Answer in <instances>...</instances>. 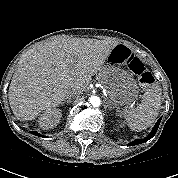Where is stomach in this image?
Returning <instances> with one entry per match:
<instances>
[{
	"label": "stomach",
	"instance_id": "0dacf381",
	"mask_svg": "<svg viewBox=\"0 0 178 178\" xmlns=\"http://www.w3.org/2000/svg\"><path fill=\"white\" fill-rule=\"evenodd\" d=\"M116 45L99 71V80L115 105H131L139 95L136 80L127 67L128 56H116Z\"/></svg>",
	"mask_w": 178,
	"mask_h": 178
}]
</instances>
